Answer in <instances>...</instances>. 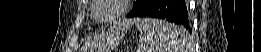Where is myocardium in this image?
Returning <instances> with one entry per match:
<instances>
[{
	"label": "myocardium",
	"instance_id": "1",
	"mask_svg": "<svg viewBox=\"0 0 261 52\" xmlns=\"http://www.w3.org/2000/svg\"><path fill=\"white\" fill-rule=\"evenodd\" d=\"M131 1L130 0H97L96 1V7L94 8L92 15L94 17V19L98 22L101 23H110L113 22L115 20H117L118 18H120L121 16H123L128 9V5ZM105 5H114L116 7L115 13L106 19H101L97 16V11L99 8L105 6Z\"/></svg>",
	"mask_w": 261,
	"mask_h": 52
}]
</instances>
